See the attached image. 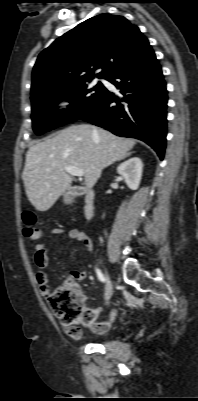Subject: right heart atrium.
<instances>
[{
	"mask_svg": "<svg viewBox=\"0 0 198 401\" xmlns=\"http://www.w3.org/2000/svg\"><path fill=\"white\" fill-rule=\"evenodd\" d=\"M56 108L60 114H67L73 107L74 100L70 95H60L56 100Z\"/></svg>",
	"mask_w": 198,
	"mask_h": 401,
	"instance_id": "right-heart-atrium-1",
	"label": "right heart atrium"
}]
</instances>
